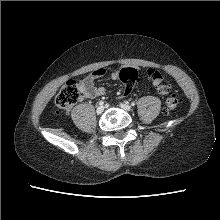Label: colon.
<instances>
[{
  "instance_id": "colon-1",
  "label": "colon",
  "mask_w": 220,
  "mask_h": 220,
  "mask_svg": "<svg viewBox=\"0 0 220 220\" xmlns=\"http://www.w3.org/2000/svg\"><path fill=\"white\" fill-rule=\"evenodd\" d=\"M147 75L152 80L162 81L161 74L155 69H148ZM119 78L124 85L123 93L128 94L133 89L138 79V71L135 68L127 67L120 71ZM157 91L161 95H165V110L171 112L176 109L179 100L171 93V88L165 84H159ZM79 98V88L74 80H68L60 89L56 96L55 103L62 110H69Z\"/></svg>"
}]
</instances>
